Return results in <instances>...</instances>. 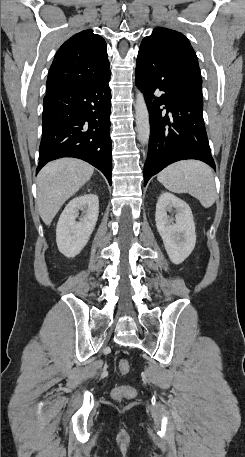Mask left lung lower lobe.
<instances>
[{
	"label": "left lung lower lobe",
	"mask_w": 245,
	"mask_h": 457,
	"mask_svg": "<svg viewBox=\"0 0 245 457\" xmlns=\"http://www.w3.org/2000/svg\"><path fill=\"white\" fill-rule=\"evenodd\" d=\"M135 84L144 94L151 126L144 185L180 160H201L215 169L203 119L202 91L172 56L165 51H139Z\"/></svg>",
	"instance_id": "0a47b994"
}]
</instances>
